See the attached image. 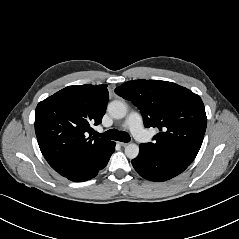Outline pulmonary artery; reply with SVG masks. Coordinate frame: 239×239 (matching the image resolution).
Returning <instances> with one entry per match:
<instances>
[{
    "label": "pulmonary artery",
    "instance_id": "e3ab8cb5",
    "mask_svg": "<svg viewBox=\"0 0 239 239\" xmlns=\"http://www.w3.org/2000/svg\"><path fill=\"white\" fill-rule=\"evenodd\" d=\"M123 126L129 128L135 138L139 141L147 140V132L143 127L142 118L138 113H131L125 120Z\"/></svg>",
    "mask_w": 239,
    "mask_h": 239
}]
</instances>
